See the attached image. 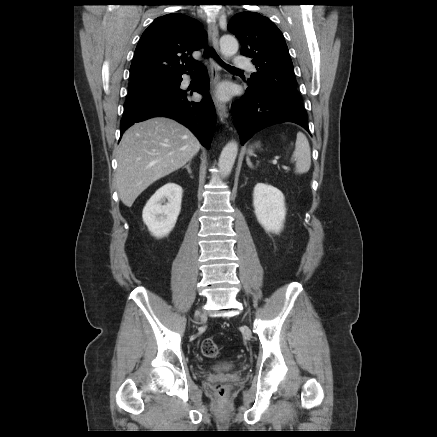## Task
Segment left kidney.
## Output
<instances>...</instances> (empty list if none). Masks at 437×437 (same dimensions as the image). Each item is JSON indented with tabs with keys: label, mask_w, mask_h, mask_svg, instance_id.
I'll return each instance as SVG.
<instances>
[{
	"label": "left kidney",
	"mask_w": 437,
	"mask_h": 437,
	"mask_svg": "<svg viewBox=\"0 0 437 437\" xmlns=\"http://www.w3.org/2000/svg\"><path fill=\"white\" fill-rule=\"evenodd\" d=\"M254 213L259 224L268 232L279 233L283 229L286 207L283 193L265 183H257L253 191Z\"/></svg>",
	"instance_id": "1"
}]
</instances>
